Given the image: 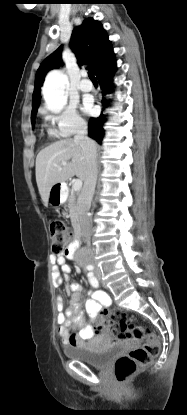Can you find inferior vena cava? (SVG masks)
<instances>
[{
  "mask_svg": "<svg viewBox=\"0 0 187 415\" xmlns=\"http://www.w3.org/2000/svg\"><path fill=\"white\" fill-rule=\"evenodd\" d=\"M87 133V124H79L74 140L81 146L86 160L84 185L77 202V215L81 226L82 241L89 244L91 238V224L88 213L95 191L98 170L96 144L87 136ZM78 253L87 258L93 256V251L89 246L81 248Z\"/></svg>",
  "mask_w": 187,
  "mask_h": 415,
  "instance_id": "602c4592",
  "label": "inferior vena cava"
}]
</instances>
